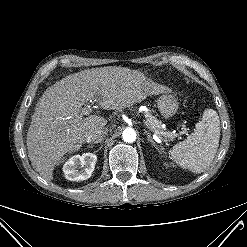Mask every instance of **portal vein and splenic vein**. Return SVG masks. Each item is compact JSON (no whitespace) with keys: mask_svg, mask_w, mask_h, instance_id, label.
I'll return each instance as SVG.
<instances>
[{"mask_svg":"<svg viewBox=\"0 0 247 247\" xmlns=\"http://www.w3.org/2000/svg\"><path fill=\"white\" fill-rule=\"evenodd\" d=\"M90 102H92V99L90 100ZM82 113H83V114L80 116V118H82L83 115H87V114L90 113V106L85 107V108L82 110ZM143 122H144V124L147 126L148 129H150L151 131L154 132L156 138L158 139V137H157V136H158V132L154 131V130L149 126V124H148L145 120H143Z\"/></svg>","mask_w":247,"mask_h":247,"instance_id":"18ae733b","label":"portal vein and splenic vein"}]
</instances>
